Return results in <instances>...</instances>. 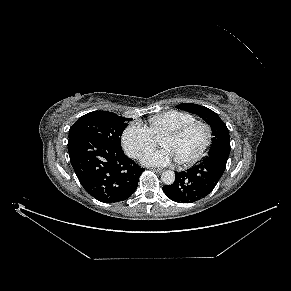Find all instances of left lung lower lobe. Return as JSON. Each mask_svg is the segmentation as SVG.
<instances>
[{
	"label": "left lung lower lobe",
	"instance_id": "0a47b994",
	"mask_svg": "<svg viewBox=\"0 0 291 291\" xmlns=\"http://www.w3.org/2000/svg\"><path fill=\"white\" fill-rule=\"evenodd\" d=\"M230 144L210 149L208 155L195 167L175 173L173 184L163 186L164 193L178 203H192L205 198L216 186L226 167Z\"/></svg>",
	"mask_w": 291,
	"mask_h": 291
}]
</instances>
